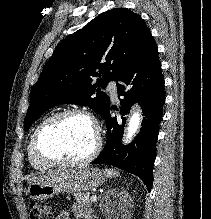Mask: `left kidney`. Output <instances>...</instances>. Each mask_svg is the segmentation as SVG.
Instances as JSON below:
<instances>
[{
    "mask_svg": "<svg viewBox=\"0 0 211 219\" xmlns=\"http://www.w3.org/2000/svg\"><path fill=\"white\" fill-rule=\"evenodd\" d=\"M120 194H126L125 192H121ZM125 196H128V195H125Z\"/></svg>",
    "mask_w": 211,
    "mask_h": 219,
    "instance_id": "left-kidney-1",
    "label": "left kidney"
}]
</instances>
